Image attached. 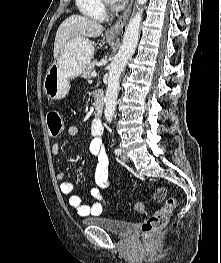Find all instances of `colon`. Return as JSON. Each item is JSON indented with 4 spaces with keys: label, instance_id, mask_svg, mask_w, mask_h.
<instances>
[{
    "label": "colon",
    "instance_id": "5ec220e1",
    "mask_svg": "<svg viewBox=\"0 0 221 263\" xmlns=\"http://www.w3.org/2000/svg\"><path fill=\"white\" fill-rule=\"evenodd\" d=\"M48 132L50 137H57L63 130V120L59 110L50 109L46 115ZM167 196L166 187H158L154 192V199L156 201H162ZM131 209L139 214H144L146 208L143 202L133 201L130 203ZM176 207V200L172 197L166 200L162 209L153 215L147 217L141 226V232L144 239L150 241L153 237L158 235L167 225L169 217L173 213Z\"/></svg>",
    "mask_w": 221,
    "mask_h": 263
}]
</instances>
